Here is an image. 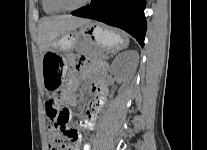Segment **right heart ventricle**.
I'll list each match as a JSON object with an SVG mask.
<instances>
[{
    "mask_svg": "<svg viewBox=\"0 0 207 150\" xmlns=\"http://www.w3.org/2000/svg\"><path fill=\"white\" fill-rule=\"evenodd\" d=\"M42 7L44 12L48 15H56L60 13V10L53 5L51 0H42Z\"/></svg>",
    "mask_w": 207,
    "mask_h": 150,
    "instance_id": "obj_1",
    "label": "right heart ventricle"
}]
</instances>
